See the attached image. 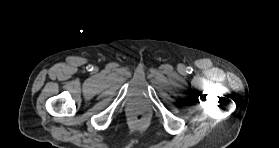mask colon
<instances>
[{
	"mask_svg": "<svg viewBox=\"0 0 279 148\" xmlns=\"http://www.w3.org/2000/svg\"><path fill=\"white\" fill-rule=\"evenodd\" d=\"M143 118H144V116H142V115L138 116L139 120H142Z\"/></svg>",
	"mask_w": 279,
	"mask_h": 148,
	"instance_id": "obj_1",
	"label": "colon"
}]
</instances>
